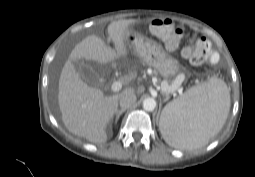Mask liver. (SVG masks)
I'll list each match as a JSON object with an SVG mask.
<instances>
[{"mask_svg":"<svg viewBox=\"0 0 255 177\" xmlns=\"http://www.w3.org/2000/svg\"><path fill=\"white\" fill-rule=\"evenodd\" d=\"M135 22L120 20L109 24L107 31L115 50L95 35L86 37L71 51L61 71L58 103L62 121L71 133L92 143H103L107 140L106 127L117 112L118 101L124 94L134 93L135 90L130 87L120 94L104 96L102 90L90 87L81 80L73 62L85 59L107 64L126 57L129 26Z\"/></svg>","mask_w":255,"mask_h":177,"instance_id":"obj_1","label":"liver"}]
</instances>
